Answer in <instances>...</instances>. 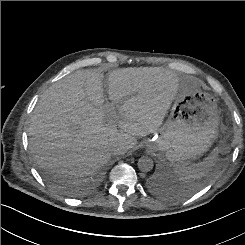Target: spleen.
Listing matches in <instances>:
<instances>
[{
	"mask_svg": "<svg viewBox=\"0 0 245 245\" xmlns=\"http://www.w3.org/2000/svg\"><path fill=\"white\" fill-rule=\"evenodd\" d=\"M219 151L220 147H215L203 161L198 163L191 165L176 164L173 168L175 175L184 182H192L201 179L216 165Z\"/></svg>",
	"mask_w": 245,
	"mask_h": 245,
	"instance_id": "spleen-1",
	"label": "spleen"
}]
</instances>
